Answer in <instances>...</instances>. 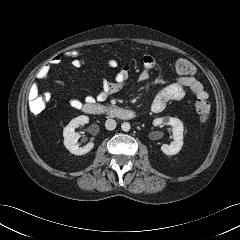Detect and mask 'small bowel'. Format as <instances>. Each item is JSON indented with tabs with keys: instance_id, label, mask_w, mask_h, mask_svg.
<instances>
[{
	"instance_id": "obj_1",
	"label": "small bowel",
	"mask_w": 240,
	"mask_h": 240,
	"mask_svg": "<svg viewBox=\"0 0 240 240\" xmlns=\"http://www.w3.org/2000/svg\"><path fill=\"white\" fill-rule=\"evenodd\" d=\"M64 59L63 54H57L53 56L48 63L43 65L36 74L38 81H46L49 79L52 66L60 64ZM87 60V58H86ZM106 65L110 68H116L118 62L115 59H109L106 61ZM156 66V60L151 55H145L143 57V68L139 73L138 80L145 82L149 79L151 71ZM129 67H120L114 75L113 80L103 79L101 82V88L96 95V99L102 101L106 99L110 94L116 93L121 90L129 79ZM58 85L63 86L62 82H57ZM38 84L34 83L29 90V99L38 97ZM187 91H190L198 100H208L209 95L204 89L203 85L196 80L192 75H181L173 83L160 90L151 104V110L154 113L162 112L167 104L172 101L181 100ZM93 96H87L86 103L94 102ZM71 107L75 109H83L84 104L76 99L71 98L69 100Z\"/></svg>"
}]
</instances>
